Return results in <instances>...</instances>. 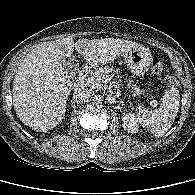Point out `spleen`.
I'll return each instance as SVG.
<instances>
[{
	"label": "spleen",
	"mask_w": 195,
	"mask_h": 195,
	"mask_svg": "<svg viewBox=\"0 0 195 195\" xmlns=\"http://www.w3.org/2000/svg\"><path fill=\"white\" fill-rule=\"evenodd\" d=\"M180 93L175 87L165 91L160 107L153 111L143 110L138 120L155 137L163 136L172 126L179 109Z\"/></svg>",
	"instance_id": "3e777b00"
}]
</instances>
